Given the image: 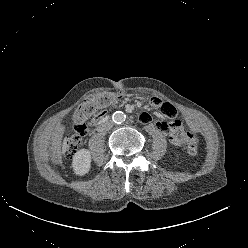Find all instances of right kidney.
I'll use <instances>...</instances> for the list:
<instances>
[{"label":"right kidney","mask_w":248,"mask_h":248,"mask_svg":"<svg viewBox=\"0 0 248 248\" xmlns=\"http://www.w3.org/2000/svg\"><path fill=\"white\" fill-rule=\"evenodd\" d=\"M72 167L76 175L87 174L91 168L90 151L87 149L78 150L73 156Z\"/></svg>","instance_id":"obj_1"}]
</instances>
